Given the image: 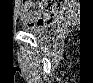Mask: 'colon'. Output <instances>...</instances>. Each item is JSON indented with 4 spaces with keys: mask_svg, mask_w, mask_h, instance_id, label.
<instances>
[{
    "mask_svg": "<svg viewBox=\"0 0 93 83\" xmlns=\"http://www.w3.org/2000/svg\"><path fill=\"white\" fill-rule=\"evenodd\" d=\"M49 2L55 3L56 5L49 8L43 6L36 7L35 4L42 2L26 1V4H30V6L33 7L22 11L29 15L28 21H35L37 23L43 24L50 20H54L58 15L65 12L67 10V6L72 3L71 1H65V2L49 1Z\"/></svg>",
    "mask_w": 93,
    "mask_h": 83,
    "instance_id": "obj_1",
    "label": "colon"
}]
</instances>
